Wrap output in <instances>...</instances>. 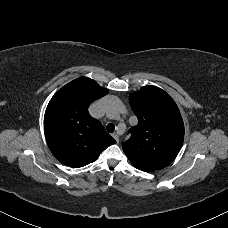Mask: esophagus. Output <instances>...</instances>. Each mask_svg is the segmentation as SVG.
<instances>
[{"mask_svg":"<svg viewBox=\"0 0 228 228\" xmlns=\"http://www.w3.org/2000/svg\"><path fill=\"white\" fill-rule=\"evenodd\" d=\"M113 137L115 138V140H116L117 142H119V136H118L117 133H114V134H113Z\"/></svg>","mask_w":228,"mask_h":228,"instance_id":"obj_1","label":"esophagus"}]
</instances>
